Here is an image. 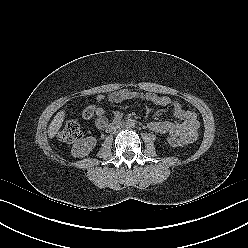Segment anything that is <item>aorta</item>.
<instances>
[{"mask_svg":"<svg viewBox=\"0 0 248 248\" xmlns=\"http://www.w3.org/2000/svg\"><path fill=\"white\" fill-rule=\"evenodd\" d=\"M135 124H136V121L135 120H133V119H127L126 121H125V127L127 128V129H132V128H134L135 127Z\"/></svg>","mask_w":248,"mask_h":248,"instance_id":"obj_1","label":"aorta"}]
</instances>
